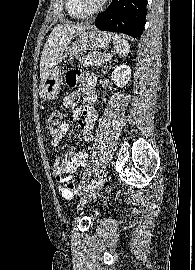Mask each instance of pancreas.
<instances>
[{
  "mask_svg": "<svg viewBox=\"0 0 195 270\" xmlns=\"http://www.w3.org/2000/svg\"><path fill=\"white\" fill-rule=\"evenodd\" d=\"M109 60L110 58H107L104 56V54L100 53L81 55V57L78 59L80 66H100L102 63H105Z\"/></svg>",
  "mask_w": 195,
  "mask_h": 270,
  "instance_id": "pancreas-1",
  "label": "pancreas"
}]
</instances>
